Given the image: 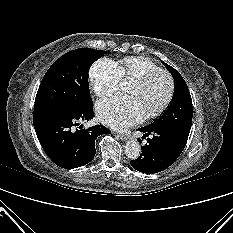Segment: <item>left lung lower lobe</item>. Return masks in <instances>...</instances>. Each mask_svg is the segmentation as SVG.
I'll return each mask as SVG.
<instances>
[{"mask_svg":"<svg viewBox=\"0 0 233 233\" xmlns=\"http://www.w3.org/2000/svg\"><path fill=\"white\" fill-rule=\"evenodd\" d=\"M138 131L144 133L143 138L152 136L147 138V144L141 146L139 158L130 162L134 169L143 173L153 174L168 168L179 157L187 142V139L164 126L142 127Z\"/></svg>","mask_w":233,"mask_h":233,"instance_id":"1","label":"left lung lower lobe"}]
</instances>
